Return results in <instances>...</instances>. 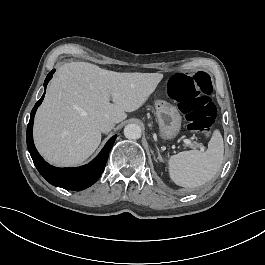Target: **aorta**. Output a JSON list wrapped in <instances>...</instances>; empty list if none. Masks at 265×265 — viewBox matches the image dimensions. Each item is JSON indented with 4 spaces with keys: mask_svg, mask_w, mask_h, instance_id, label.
<instances>
[{
    "mask_svg": "<svg viewBox=\"0 0 265 265\" xmlns=\"http://www.w3.org/2000/svg\"><path fill=\"white\" fill-rule=\"evenodd\" d=\"M124 135L128 139H139L141 137V128L137 124H128L124 128Z\"/></svg>",
    "mask_w": 265,
    "mask_h": 265,
    "instance_id": "obj_1",
    "label": "aorta"
}]
</instances>
